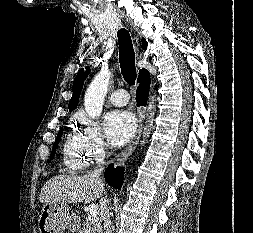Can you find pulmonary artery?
<instances>
[{
	"label": "pulmonary artery",
	"mask_w": 253,
	"mask_h": 233,
	"mask_svg": "<svg viewBox=\"0 0 253 233\" xmlns=\"http://www.w3.org/2000/svg\"><path fill=\"white\" fill-rule=\"evenodd\" d=\"M129 94L124 89H118L114 91L110 97V102L117 107L125 106L129 102Z\"/></svg>",
	"instance_id": "pulmonary-artery-1"
}]
</instances>
